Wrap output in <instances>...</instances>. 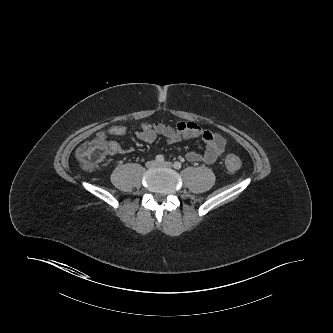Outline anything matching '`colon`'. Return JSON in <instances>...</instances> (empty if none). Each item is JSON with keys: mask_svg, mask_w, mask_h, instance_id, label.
<instances>
[{"mask_svg": "<svg viewBox=\"0 0 333 333\" xmlns=\"http://www.w3.org/2000/svg\"><path fill=\"white\" fill-rule=\"evenodd\" d=\"M111 154V148L107 140L95 138L83 144L76 153L79 163L85 169L92 170ZM225 166L229 171H237L241 167V159L235 154H228L225 158Z\"/></svg>", "mask_w": 333, "mask_h": 333, "instance_id": "colon-1", "label": "colon"}]
</instances>
